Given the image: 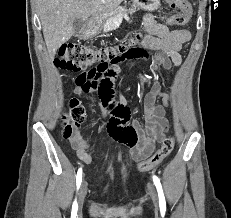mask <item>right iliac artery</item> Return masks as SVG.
I'll use <instances>...</instances> for the list:
<instances>
[{"label":"right iliac artery","instance_id":"1","mask_svg":"<svg viewBox=\"0 0 231 218\" xmlns=\"http://www.w3.org/2000/svg\"><path fill=\"white\" fill-rule=\"evenodd\" d=\"M81 181H82V169L80 168L78 170L77 176H76L77 189H79ZM77 209H78V205H77V202L75 200L74 203H73V206H72V212H73V214H76Z\"/></svg>","mask_w":231,"mask_h":218}]
</instances>
